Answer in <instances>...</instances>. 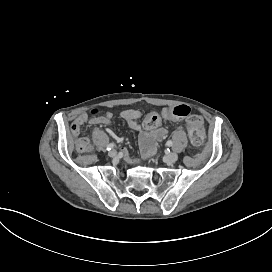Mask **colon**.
<instances>
[{"label":"colon","instance_id":"1","mask_svg":"<svg viewBox=\"0 0 272 272\" xmlns=\"http://www.w3.org/2000/svg\"><path fill=\"white\" fill-rule=\"evenodd\" d=\"M168 113L175 118H186L189 115V107L187 105L170 106L167 108ZM102 113L100 107H95L90 111V116H98ZM80 128V123L76 122L72 125V131L77 132ZM187 129L190 140L193 145H200L203 140V127L202 121L199 117H192L188 120ZM89 140L86 137L78 141V148L84 149L88 146Z\"/></svg>","mask_w":272,"mask_h":272}]
</instances>
